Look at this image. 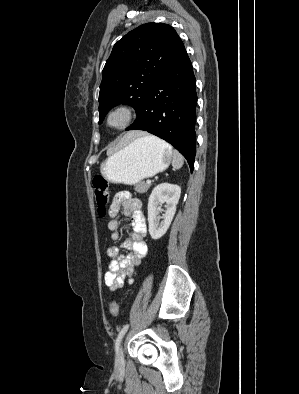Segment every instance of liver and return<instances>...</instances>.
Instances as JSON below:
<instances>
[{
  "label": "liver",
  "instance_id": "6515ba94",
  "mask_svg": "<svg viewBox=\"0 0 299 394\" xmlns=\"http://www.w3.org/2000/svg\"><path fill=\"white\" fill-rule=\"evenodd\" d=\"M142 136H144V133H142V132H138V131L129 132V133L125 134L124 137L122 138V144L125 145V144L131 142L132 140L142 137Z\"/></svg>",
  "mask_w": 299,
  "mask_h": 394
}]
</instances>
